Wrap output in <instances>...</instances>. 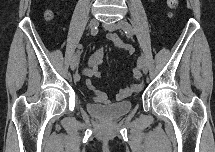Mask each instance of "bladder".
<instances>
[{
  "label": "bladder",
  "mask_w": 215,
  "mask_h": 152,
  "mask_svg": "<svg viewBox=\"0 0 215 152\" xmlns=\"http://www.w3.org/2000/svg\"><path fill=\"white\" fill-rule=\"evenodd\" d=\"M133 107L132 101L113 103L110 105H88L91 114L100 119H112L126 115Z\"/></svg>",
  "instance_id": "1"
}]
</instances>
